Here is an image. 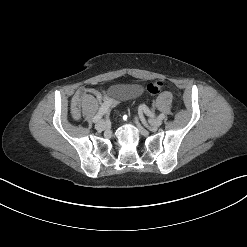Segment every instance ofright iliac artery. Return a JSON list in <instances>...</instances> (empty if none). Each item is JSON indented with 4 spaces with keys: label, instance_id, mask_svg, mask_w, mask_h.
Returning <instances> with one entry per match:
<instances>
[{
    "label": "right iliac artery",
    "instance_id": "1",
    "mask_svg": "<svg viewBox=\"0 0 247 247\" xmlns=\"http://www.w3.org/2000/svg\"><path fill=\"white\" fill-rule=\"evenodd\" d=\"M113 103H114V101L112 99L106 100L102 104V106L100 107L98 113L94 116L92 121L94 123H97L103 117V115H105L109 111V109H110V107L112 106Z\"/></svg>",
    "mask_w": 247,
    "mask_h": 247
}]
</instances>
